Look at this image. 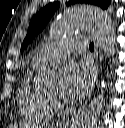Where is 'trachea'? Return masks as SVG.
I'll return each mask as SVG.
<instances>
[{
	"instance_id": "trachea-1",
	"label": "trachea",
	"mask_w": 125,
	"mask_h": 128,
	"mask_svg": "<svg viewBox=\"0 0 125 128\" xmlns=\"http://www.w3.org/2000/svg\"><path fill=\"white\" fill-rule=\"evenodd\" d=\"M89 49H90L91 51L94 50V44H93V43H90V45H89Z\"/></svg>"
}]
</instances>
